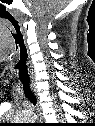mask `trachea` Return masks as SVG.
I'll list each match as a JSON object with an SVG mask.
<instances>
[{
    "instance_id": "trachea-1",
    "label": "trachea",
    "mask_w": 95,
    "mask_h": 126,
    "mask_svg": "<svg viewBox=\"0 0 95 126\" xmlns=\"http://www.w3.org/2000/svg\"><path fill=\"white\" fill-rule=\"evenodd\" d=\"M17 68L19 71V78L22 83L25 96L27 97L28 100L31 101V103H33L35 105L37 102V99L30 88V78H29V74H28L27 56H25V57L21 56V58L17 64Z\"/></svg>"
}]
</instances>
